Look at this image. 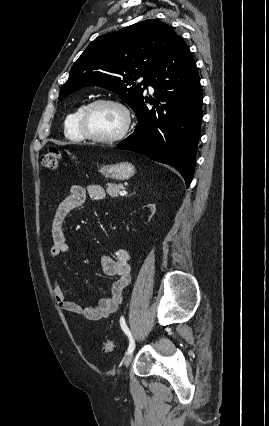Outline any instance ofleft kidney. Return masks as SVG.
<instances>
[{
	"label": "left kidney",
	"mask_w": 269,
	"mask_h": 426,
	"mask_svg": "<svg viewBox=\"0 0 269 426\" xmlns=\"http://www.w3.org/2000/svg\"><path fill=\"white\" fill-rule=\"evenodd\" d=\"M148 209H149V211H150V215H149V217L147 218L149 221L152 219V216L155 214V211H156V206H155V204H148L147 206H146Z\"/></svg>",
	"instance_id": "obj_1"
}]
</instances>
